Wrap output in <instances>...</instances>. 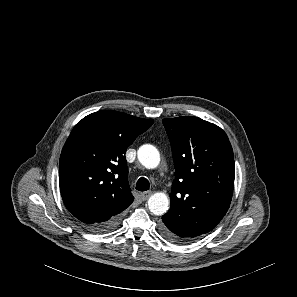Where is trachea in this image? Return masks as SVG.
I'll return each mask as SVG.
<instances>
[{"instance_id":"3493384b","label":"trachea","mask_w":297,"mask_h":297,"mask_svg":"<svg viewBox=\"0 0 297 297\" xmlns=\"http://www.w3.org/2000/svg\"><path fill=\"white\" fill-rule=\"evenodd\" d=\"M149 187H150V183L146 178L141 177L138 179L136 183V189L138 191H147Z\"/></svg>"}]
</instances>
